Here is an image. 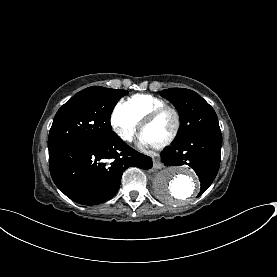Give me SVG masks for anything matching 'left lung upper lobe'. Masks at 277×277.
I'll list each match as a JSON object with an SVG mask.
<instances>
[{
  "label": "left lung upper lobe",
  "instance_id": "left-lung-upper-lobe-1",
  "mask_svg": "<svg viewBox=\"0 0 277 277\" xmlns=\"http://www.w3.org/2000/svg\"><path fill=\"white\" fill-rule=\"evenodd\" d=\"M161 96L168 99L179 112L180 131L177 140L207 131H220L214 109L196 92L183 88H170Z\"/></svg>",
  "mask_w": 277,
  "mask_h": 277
}]
</instances>
